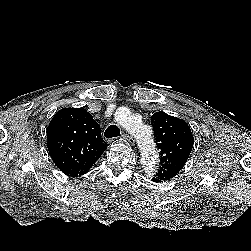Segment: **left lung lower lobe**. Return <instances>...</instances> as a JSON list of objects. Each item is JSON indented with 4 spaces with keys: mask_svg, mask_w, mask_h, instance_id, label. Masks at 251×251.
<instances>
[{
    "mask_svg": "<svg viewBox=\"0 0 251 251\" xmlns=\"http://www.w3.org/2000/svg\"><path fill=\"white\" fill-rule=\"evenodd\" d=\"M153 181H154V182H159V180H158V179H155V178H153Z\"/></svg>",
    "mask_w": 251,
    "mask_h": 251,
    "instance_id": "1",
    "label": "left lung lower lobe"
}]
</instances>
